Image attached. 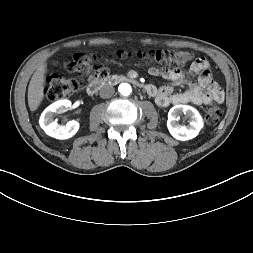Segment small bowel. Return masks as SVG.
Wrapping results in <instances>:
<instances>
[{"mask_svg": "<svg viewBox=\"0 0 253 253\" xmlns=\"http://www.w3.org/2000/svg\"><path fill=\"white\" fill-rule=\"evenodd\" d=\"M190 72L192 74H200L197 85H193L187 80L185 75L174 64L161 65L159 68L151 67L148 70L149 75L164 77L178 84H186L188 88L182 92H174L171 85L159 88L149 85L150 88L146 91L160 107H168L172 104L180 103L202 105L213 101H223L224 92L213 80L209 64L205 58H197L190 65Z\"/></svg>", "mask_w": 253, "mask_h": 253, "instance_id": "1", "label": "small bowel"}]
</instances>
